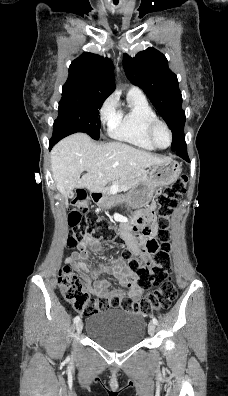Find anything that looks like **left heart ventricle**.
Returning <instances> with one entry per match:
<instances>
[{
  "label": "left heart ventricle",
  "instance_id": "1",
  "mask_svg": "<svg viewBox=\"0 0 228 396\" xmlns=\"http://www.w3.org/2000/svg\"><path fill=\"white\" fill-rule=\"evenodd\" d=\"M154 139L157 145L165 147L169 143V135L163 126H158L154 132Z\"/></svg>",
  "mask_w": 228,
  "mask_h": 396
}]
</instances>
